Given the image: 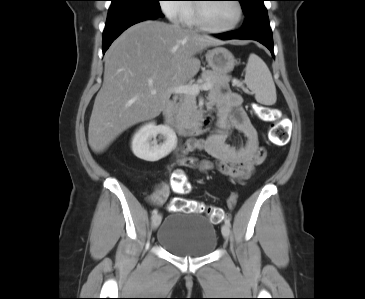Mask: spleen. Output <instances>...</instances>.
<instances>
[{
	"instance_id": "1",
	"label": "spleen",
	"mask_w": 365,
	"mask_h": 299,
	"mask_svg": "<svg viewBox=\"0 0 365 299\" xmlns=\"http://www.w3.org/2000/svg\"><path fill=\"white\" fill-rule=\"evenodd\" d=\"M245 83L255 94L257 102L273 105L276 102V88L269 68L256 54H250L245 71Z\"/></svg>"
}]
</instances>
